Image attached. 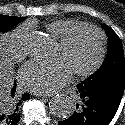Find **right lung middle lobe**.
Wrapping results in <instances>:
<instances>
[{"mask_svg": "<svg viewBox=\"0 0 125 125\" xmlns=\"http://www.w3.org/2000/svg\"><path fill=\"white\" fill-rule=\"evenodd\" d=\"M25 19L26 17H13L0 14V31L6 32ZM13 103V96L10 95L7 99H5V103L1 107L11 106Z\"/></svg>", "mask_w": 125, "mask_h": 125, "instance_id": "dd1d6c3e", "label": "right lung middle lobe"}]
</instances>
